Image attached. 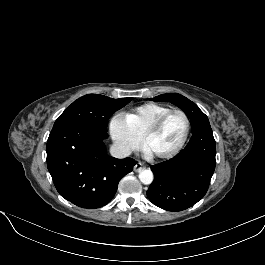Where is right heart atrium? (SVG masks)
<instances>
[{"mask_svg":"<svg viewBox=\"0 0 265 265\" xmlns=\"http://www.w3.org/2000/svg\"><path fill=\"white\" fill-rule=\"evenodd\" d=\"M109 132L117 149L122 153L129 154L139 146L140 138L131 131L120 115L110 118Z\"/></svg>","mask_w":265,"mask_h":265,"instance_id":"obj_1","label":"right heart atrium"}]
</instances>
